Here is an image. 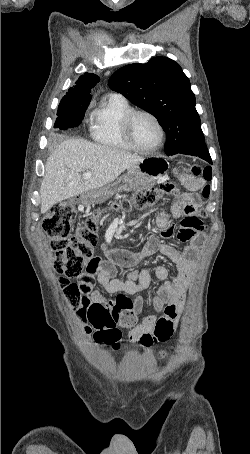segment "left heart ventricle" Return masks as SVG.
Wrapping results in <instances>:
<instances>
[{
	"label": "left heart ventricle",
	"instance_id": "left-heart-ventricle-1",
	"mask_svg": "<svg viewBox=\"0 0 250 454\" xmlns=\"http://www.w3.org/2000/svg\"><path fill=\"white\" fill-rule=\"evenodd\" d=\"M132 135L135 143L144 149L153 147L159 139L156 125L149 117L143 115L134 120Z\"/></svg>",
	"mask_w": 250,
	"mask_h": 454
}]
</instances>
